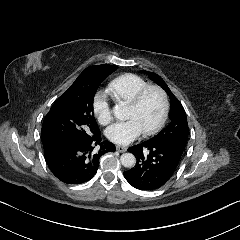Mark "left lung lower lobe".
I'll list each match as a JSON object with an SVG mask.
<instances>
[{
	"label": "left lung lower lobe",
	"mask_w": 240,
	"mask_h": 240,
	"mask_svg": "<svg viewBox=\"0 0 240 240\" xmlns=\"http://www.w3.org/2000/svg\"><path fill=\"white\" fill-rule=\"evenodd\" d=\"M137 162L124 172L126 180L140 190H155L174 174L184 149L175 144H141L128 148Z\"/></svg>",
	"instance_id": "obj_1"
}]
</instances>
